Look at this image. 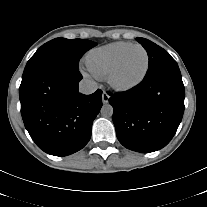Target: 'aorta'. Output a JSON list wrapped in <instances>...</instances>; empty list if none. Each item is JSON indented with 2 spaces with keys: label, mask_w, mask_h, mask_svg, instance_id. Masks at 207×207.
Listing matches in <instances>:
<instances>
[{
  "label": "aorta",
  "mask_w": 207,
  "mask_h": 207,
  "mask_svg": "<svg viewBox=\"0 0 207 207\" xmlns=\"http://www.w3.org/2000/svg\"><path fill=\"white\" fill-rule=\"evenodd\" d=\"M100 112L103 117H111L113 115V107L110 104H104Z\"/></svg>",
  "instance_id": "aorta-1"
}]
</instances>
